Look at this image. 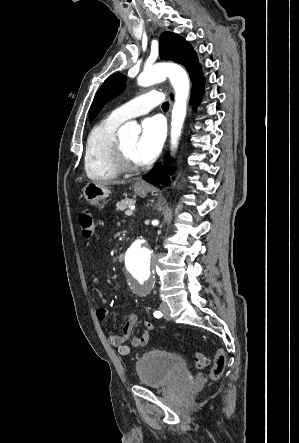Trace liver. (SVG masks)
Here are the masks:
<instances>
[{
	"mask_svg": "<svg viewBox=\"0 0 299 443\" xmlns=\"http://www.w3.org/2000/svg\"><path fill=\"white\" fill-rule=\"evenodd\" d=\"M93 183H95V184H98V185H104V186H107L108 184H112V185H119V184H125V182L124 181H96V182H93Z\"/></svg>",
	"mask_w": 299,
	"mask_h": 443,
	"instance_id": "obj_1",
	"label": "liver"
}]
</instances>
